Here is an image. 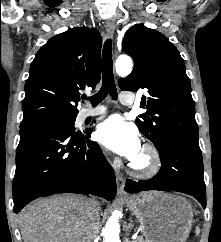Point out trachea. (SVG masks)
I'll return each instance as SVG.
<instances>
[{
  "label": "trachea",
  "instance_id": "trachea-1",
  "mask_svg": "<svg viewBox=\"0 0 221 242\" xmlns=\"http://www.w3.org/2000/svg\"><path fill=\"white\" fill-rule=\"evenodd\" d=\"M102 80V87L99 92L89 98L93 106L101 103L107 95H110L113 100H117L118 94L114 83L112 45L110 39L105 41L103 47ZM83 98L86 99L87 97L84 96Z\"/></svg>",
  "mask_w": 221,
  "mask_h": 242
}]
</instances>
